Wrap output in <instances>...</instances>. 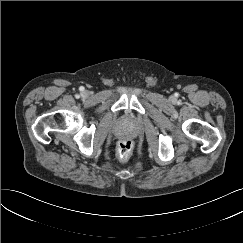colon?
Instances as JSON below:
<instances>
[{
  "mask_svg": "<svg viewBox=\"0 0 243 243\" xmlns=\"http://www.w3.org/2000/svg\"><path fill=\"white\" fill-rule=\"evenodd\" d=\"M133 144L129 140H123L119 142L117 147V153L120 159L125 160L129 157L132 151Z\"/></svg>",
  "mask_w": 243,
  "mask_h": 243,
  "instance_id": "obj_1",
  "label": "colon"
}]
</instances>
